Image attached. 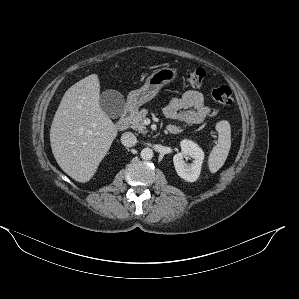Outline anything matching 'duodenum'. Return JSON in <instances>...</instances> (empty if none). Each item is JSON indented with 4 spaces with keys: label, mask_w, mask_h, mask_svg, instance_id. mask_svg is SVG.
<instances>
[{
    "label": "duodenum",
    "mask_w": 299,
    "mask_h": 299,
    "mask_svg": "<svg viewBox=\"0 0 299 299\" xmlns=\"http://www.w3.org/2000/svg\"><path fill=\"white\" fill-rule=\"evenodd\" d=\"M132 113H133V109L128 106L125 108V110L123 111L120 119L117 121L116 123V126L119 130H125L128 128V125H129V121H130V118L132 116ZM167 132L169 134H175L176 131L172 128H167Z\"/></svg>",
    "instance_id": "1"
}]
</instances>
